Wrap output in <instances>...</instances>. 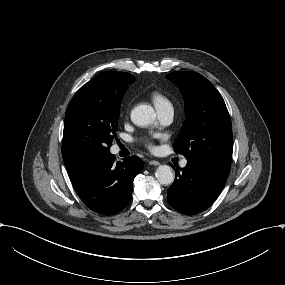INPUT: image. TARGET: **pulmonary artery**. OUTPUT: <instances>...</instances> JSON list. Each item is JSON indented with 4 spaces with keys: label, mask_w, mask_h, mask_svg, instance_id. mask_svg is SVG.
<instances>
[{
    "label": "pulmonary artery",
    "mask_w": 285,
    "mask_h": 285,
    "mask_svg": "<svg viewBox=\"0 0 285 285\" xmlns=\"http://www.w3.org/2000/svg\"><path fill=\"white\" fill-rule=\"evenodd\" d=\"M158 113H159L161 120H163L165 122L170 121L172 119V116H173V107L171 104L165 105V106L158 109ZM118 152H119V147L113 146L112 147V153L116 155V154H118ZM186 165H187V160L183 159L181 161V167L184 168Z\"/></svg>",
    "instance_id": "1"
}]
</instances>
